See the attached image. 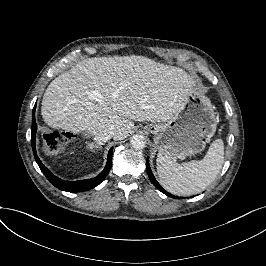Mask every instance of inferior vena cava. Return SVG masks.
<instances>
[{"label": "inferior vena cava", "mask_w": 266, "mask_h": 266, "mask_svg": "<svg viewBox=\"0 0 266 266\" xmlns=\"http://www.w3.org/2000/svg\"><path fill=\"white\" fill-rule=\"evenodd\" d=\"M92 136L97 144L103 145L106 141L113 137V132L108 130L94 131L92 132Z\"/></svg>", "instance_id": "inferior-vena-cava-1"}]
</instances>
